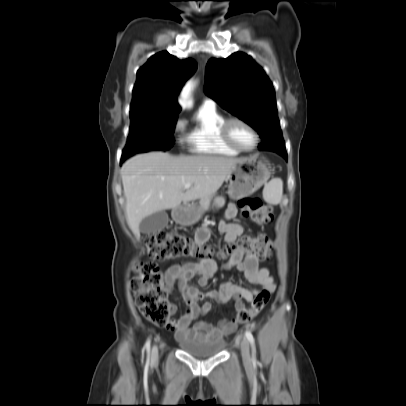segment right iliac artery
<instances>
[{"mask_svg": "<svg viewBox=\"0 0 406 406\" xmlns=\"http://www.w3.org/2000/svg\"><path fill=\"white\" fill-rule=\"evenodd\" d=\"M150 343H151V340L149 338L145 343V348H146V351H147V361L148 362H149V358H150Z\"/></svg>", "mask_w": 406, "mask_h": 406, "instance_id": "82829eb1", "label": "right iliac artery"}]
</instances>
